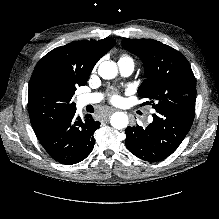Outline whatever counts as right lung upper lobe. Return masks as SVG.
<instances>
[{
    "mask_svg": "<svg viewBox=\"0 0 219 219\" xmlns=\"http://www.w3.org/2000/svg\"><path fill=\"white\" fill-rule=\"evenodd\" d=\"M116 41L105 38L99 41H75L60 46L46 54L36 65L30 83L45 80L59 91L72 94L83 86L97 61L105 55ZM32 99L29 87L28 107Z\"/></svg>",
    "mask_w": 219,
    "mask_h": 219,
    "instance_id": "obj_1",
    "label": "right lung upper lobe"
}]
</instances>
